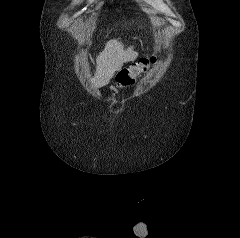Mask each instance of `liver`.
I'll return each instance as SVG.
<instances>
[{
  "label": "liver",
  "instance_id": "1",
  "mask_svg": "<svg viewBox=\"0 0 240 238\" xmlns=\"http://www.w3.org/2000/svg\"><path fill=\"white\" fill-rule=\"evenodd\" d=\"M138 53L133 47L124 49L122 42L113 39L106 43L105 48L96 59L97 67L92 85L101 88L109 84L116 71H119L123 64L134 61Z\"/></svg>",
  "mask_w": 240,
  "mask_h": 238
}]
</instances>
